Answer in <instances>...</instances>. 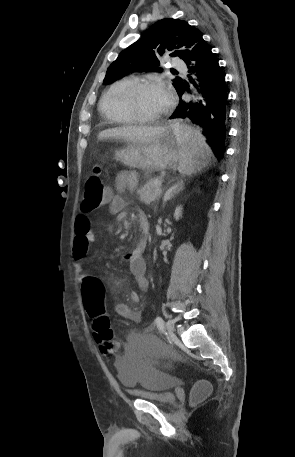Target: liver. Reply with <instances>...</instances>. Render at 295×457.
I'll use <instances>...</instances> for the list:
<instances>
[{
    "instance_id": "1",
    "label": "liver",
    "mask_w": 295,
    "mask_h": 457,
    "mask_svg": "<svg viewBox=\"0 0 295 457\" xmlns=\"http://www.w3.org/2000/svg\"><path fill=\"white\" fill-rule=\"evenodd\" d=\"M163 129L161 126H122L101 131L98 139H123L126 142L144 144L153 141Z\"/></svg>"
}]
</instances>
